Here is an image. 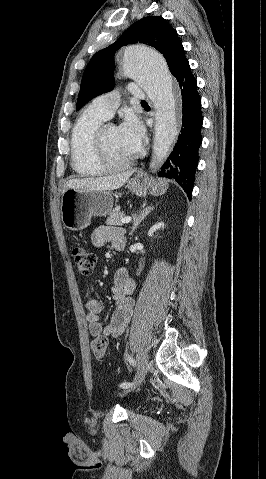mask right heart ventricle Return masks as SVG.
Wrapping results in <instances>:
<instances>
[{"instance_id": "right-heart-ventricle-1", "label": "right heart ventricle", "mask_w": 266, "mask_h": 479, "mask_svg": "<svg viewBox=\"0 0 266 479\" xmlns=\"http://www.w3.org/2000/svg\"><path fill=\"white\" fill-rule=\"evenodd\" d=\"M104 117L87 109L77 120L71 134V165L85 177L100 176L107 172L94 155V138Z\"/></svg>"}]
</instances>
